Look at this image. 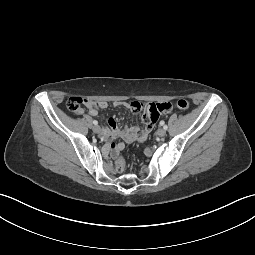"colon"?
<instances>
[{"instance_id":"5ec220e1","label":"colon","mask_w":255,"mask_h":255,"mask_svg":"<svg viewBox=\"0 0 255 255\" xmlns=\"http://www.w3.org/2000/svg\"><path fill=\"white\" fill-rule=\"evenodd\" d=\"M96 102L90 101L87 99H83L80 97H72L67 102L68 109L73 112L74 114H81L83 112V106L89 105V104H95ZM177 108L180 110H187L189 108V102L185 99H180L176 102ZM116 154V160H115V169L118 172H122L125 168V160L122 156H120L117 152H114Z\"/></svg>"}]
</instances>
